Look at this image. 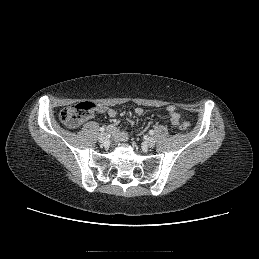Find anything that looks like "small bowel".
Instances as JSON below:
<instances>
[{"mask_svg": "<svg viewBox=\"0 0 259 259\" xmlns=\"http://www.w3.org/2000/svg\"><path fill=\"white\" fill-rule=\"evenodd\" d=\"M166 111L170 117L171 123L173 125H177L180 121L179 114L176 111V108L174 105H168L166 107ZM135 114L140 116L143 114V109L141 107H137L134 110ZM99 113H104L107 114L110 118H115L117 116V112L115 109L110 108V107H100L99 108ZM109 130L113 133V135L120 141H124L127 139V133L120 130L118 127L117 122H113L109 126Z\"/></svg>", "mask_w": 259, "mask_h": 259, "instance_id": "c3829d8e", "label": "small bowel"}]
</instances>
